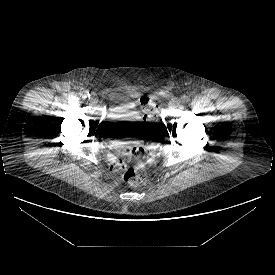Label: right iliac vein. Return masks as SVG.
Here are the masks:
<instances>
[{
  "label": "right iliac vein",
  "instance_id": "obj_1",
  "mask_svg": "<svg viewBox=\"0 0 275 275\" xmlns=\"http://www.w3.org/2000/svg\"><path fill=\"white\" fill-rule=\"evenodd\" d=\"M89 101H90L91 103L95 104V103H97L98 99H97V97H96L95 95H91V96L89 97Z\"/></svg>",
  "mask_w": 275,
  "mask_h": 275
}]
</instances>
